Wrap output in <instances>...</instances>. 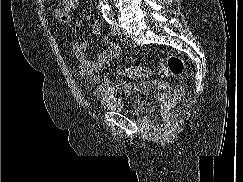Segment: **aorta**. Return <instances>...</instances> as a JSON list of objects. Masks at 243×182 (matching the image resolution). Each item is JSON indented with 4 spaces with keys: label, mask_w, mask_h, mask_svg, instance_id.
<instances>
[{
    "label": "aorta",
    "mask_w": 243,
    "mask_h": 182,
    "mask_svg": "<svg viewBox=\"0 0 243 182\" xmlns=\"http://www.w3.org/2000/svg\"><path fill=\"white\" fill-rule=\"evenodd\" d=\"M101 10L105 19L110 20L113 17L108 0H99Z\"/></svg>",
    "instance_id": "762f6f07"
}]
</instances>
